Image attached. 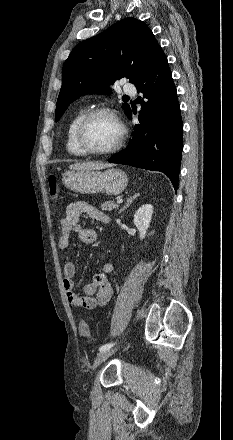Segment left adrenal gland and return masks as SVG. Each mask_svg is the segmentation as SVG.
Here are the masks:
<instances>
[{
	"label": "left adrenal gland",
	"mask_w": 233,
	"mask_h": 440,
	"mask_svg": "<svg viewBox=\"0 0 233 440\" xmlns=\"http://www.w3.org/2000/svg\"><path fill=\"white\" fill-rule=\"evenodd\" d=\"M140 194L139 193H135L132 197H130L129 199H127L124 207L122 209H120L119 213L123 212L125 209H127L132 202L134 201V199H136Z\"/></svg>",
	"instance_id": "left-adrenal-gland-1"
}]
</instances>
